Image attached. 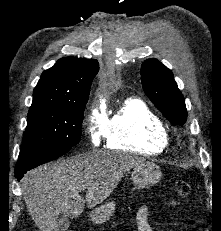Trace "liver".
<instances>
[{
  "label": "liver",
  "instance_id": "1",
  "mask_svg": "<svg viewBox=\"0 0 221 231\" xmlns=\"http://www.w3.org/2000/svg\"><path fill=\"white\" fill-rule=\"evenodd\" d=\"M143 161L122 152L93 151L40 166L22 180L28 212L40 231H59L60 215L78 217L85 202L88 208L102 203L124 173Z\"/></svg>",
  "mask_w": 221,
  "mask_h": 231
}]
</instances>
